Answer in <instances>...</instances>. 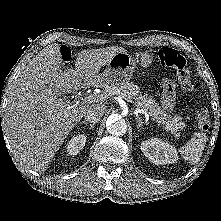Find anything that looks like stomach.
I'll list each match as a JSON object with an SVG mask.
<instances>
[{
    "label": "stomach",
    "mask_w": 221,
    "mask_h": 221,
    "mask_svg": "<svg viewBox=\"0 0 221 221\" xmlns=\"http://www.w3.org/2000/svg\"><path fill=\"white\" fill-rule=\"evenodd\" d=\"M141 65L148 66L152 62V53L142 51L138 54ZM138 58L132 57L127 52H119L108 62L104 72L101 74L103 85L123 84L130 80Z\"/></svg>",
    "instance_id": "1"
}]
</instances>
